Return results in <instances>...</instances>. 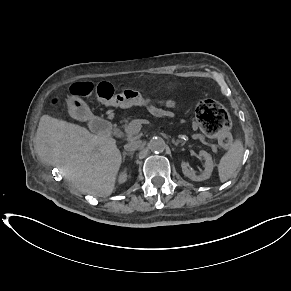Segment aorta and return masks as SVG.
<instances>
[{"instance_id":"1","label":"aorta","mask_w":291,"mask_h":291,"mask_svg":"<svg viewBox=\"0 0 291 291\" xmlns=\"http://www.w3.org/2000/svg\"><path fill=\"white\" fill-rule=\"evenodd\" d=\"M148 146L151 151L159 153L164 151L166 144L161 137H154L149 141Z\"/></svg>"}]
</instances>
